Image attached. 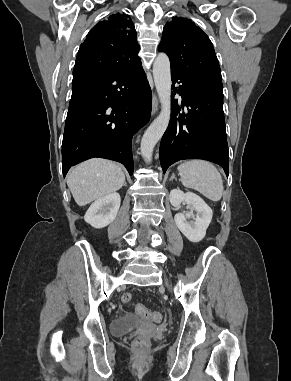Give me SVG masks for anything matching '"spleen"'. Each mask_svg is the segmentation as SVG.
<instances>
[{"label":"spleen","mask_w":291,"mask_h":381,"mask_svg":"<svg viewBox=\"0 0 291 381\" xmlns=\"http://www.w3.org/2000/svg\"><path fill=\"white\" fill-rule=\"evenodd\" d=\"M180 181L202 195L217 202L223 194V181L217 168L204 160H190L178 167Z\"/></svg>","instance_id":"3e777b00"}]
</instances>
